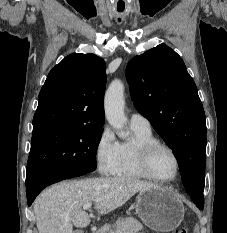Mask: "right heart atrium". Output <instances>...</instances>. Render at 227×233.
<instances>
[{
	"label": "right heart atrium",
	"mask_w": 227,
	"mask_h": 233,
	"mask_svg": "<svg viewBox=\"0 0 227 233\" xmlns=\"http://www.w3.org/2000/svg\"><path fill=\"white\" fill-rule=\"evenodd\" d=\"M94 158L99 172L103 175L115 174L120 159V144L108 126H104L94 147Z\"/></svg>",
	"instance_id": "obj_1"
}]
</instances>
